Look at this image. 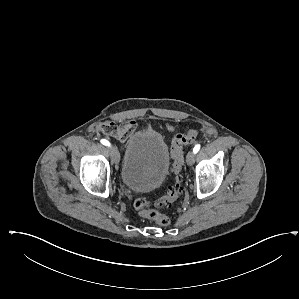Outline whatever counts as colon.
<instances>
[{
	"label": "colon",
	"mask_w": 299,
	"mask_h": 299,
	"mask_svg": "<svg viewBox=\"0 0 299 299\" xmlns=\"http://www.w3.org/2000/svg\"><path fill=\"white\" fill-rule=\"evenodd\" d=\"M107 128V123L102 125V129ZM199 135L197 129H192L185 134H178L172 140L171 157L173 159V170L175 172L174 186L162 197L150 202L146 198H138L134 202V208L138 213L148 219L153 220L160 226H167L170 218L163 214L160 209L167 208L174 203L182 193L181 170L184 159L185 146L193 144Z\"/></svg>",
	"instance_id": "1"
}]
</instances>
